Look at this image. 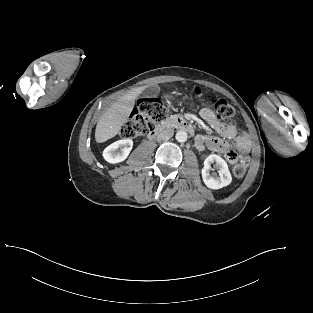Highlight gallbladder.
Instances as JSON below:
<instances>
[{
    "instance_id": "bac80fb5",
    "label": "gallbladder",
    "mask_w": 313,
    "mask_h": 313,
    "mask_svg": "<svg viewBox=\"0 0 313 313\" xmlns=\"http://www.w3.org/2000/svg\"><path fill=\"white\" fill-rule=\"evenodd\" d=\"M157 90H158V88L156 86H152V87L148 88L146 91L149 94H152V93L156 92Z\"/></svg>"
}]
</instances>
